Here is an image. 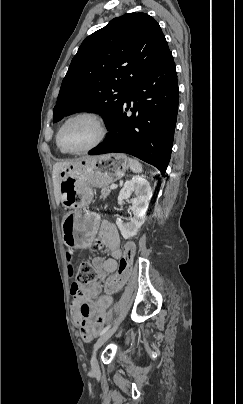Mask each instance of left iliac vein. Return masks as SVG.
I'll return each instance as SVG.
<instances>
[{
    "instance_id": "1",
    "label": "left iliac vein",
    "mask_w": 243,
    "mask_h": 404,
    "mask_svg": "<svg viewBox=\"0 0 243 404\" xmlns=\"http://www.w3.org/2000/svg\"><path fill=\"white\" fill-rule=\"evenodd\" d=\"M118 325H114L111 329L105 332L94 344L93 354L91 358V366L94 373L99 371V365L96 358L97 350L116 332Z\"/></svg>"
}]
</instances>
